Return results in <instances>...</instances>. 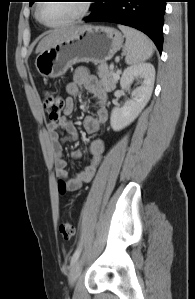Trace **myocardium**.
<instances>
[{"mask_svg": "<svg viewBox=\"0 0 195 299\" xmlns=\"http://www.w3.org/2000/svg\"><path fill=\"white\" fill-rule=\"evenodd\" d=\"M81 1H82V8H81V11L79 12V14H77L76 16H74L64 22L56 23V24L47 23L40 15V8H41L42 3H38L36 5V10H35L36 18L41 24H43L44 26L49 27V28H60V27L68 26L72 23H75L77 21L84 19L89 14V12L91 10L90 1L89 0H81Z\"/></svg>", "mask_w": 195, "mask_h": 299, "instance_id": "1", "label": "myocardium"}]
</instances>
